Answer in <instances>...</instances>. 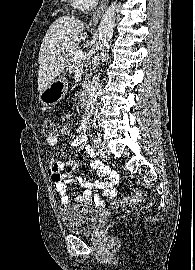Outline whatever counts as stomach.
I'll return each mask as SVG.
<instances>
[{
  "mask_svg": "<svg viewBox=\"0 0 195 270\" xmlns=\"http://www.w3.org/2000/svg\"><path fill=\"white\" fill-rule=\"evenodd\" d=\"M67 86L66 78L58 77L39 93V101L45 106L55 105L65 96Z\"/></svg>",
  "mask_w": 195,
  "mask_h": 270,
  "instance_id": "obj_1",
  "label": "stomach"
}]
</instances>
